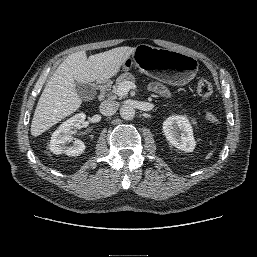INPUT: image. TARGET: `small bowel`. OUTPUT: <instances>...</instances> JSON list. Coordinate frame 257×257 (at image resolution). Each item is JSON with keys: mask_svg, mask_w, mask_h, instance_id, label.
<instances>
[{"mask_svg": "<svg viewBox=\"0 0 257 257\" xmlns=\"http://www.w3.org/2000/svg\"><path fill=\"white\" fill-rule=\"evenodd\" d=\"M151 88L154 91H156V92H158L160 94H163V95H167L168 94V91L166 90V88L163 85L159 84V83L151 84Z\"/></svg>", "mask_w": 257, "mask_h": 257, "instance_id": "c3829d8e", "label": "small bowel"}]
</instances>
